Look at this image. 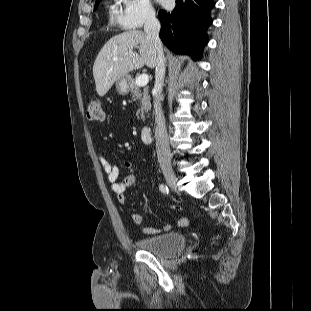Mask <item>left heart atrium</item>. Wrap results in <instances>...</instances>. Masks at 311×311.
Masks as SVG:
<instances>
[{"label":"left heart atrium","instance_id":"39dd6f15","mask_svg":"<svg viewBox=\"0 0 311 311\" xmlns=\"http://www.w3.org/2000/svg\"><path fill=\"white\" fill-rule=\"evenodd\" d=\"M158 1H160V2H164L165 0H158Z\"/></svg>","mask_w":311,"mask_h":311}]
</instances>
